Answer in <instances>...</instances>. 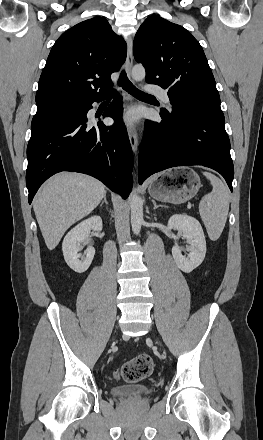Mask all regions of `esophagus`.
I'll list each match as a JSON object with an SVG mask.
<instances>
[{
	"label": "esophagus",
	"instance_id": "1",
	"mask_svg": "<svg viewBox=\"0 0 263 440\" xmlns=\"http://www.w3.org/2000/svg\"><path fill=\"white\" fill-rule=\"evenodd\" d=\"M132 66H133V43H132V39L129 38L127 40V58H126V72L128 77H131ZM128 136L133 153L136 155L138 149V134L134 127L130 126L128 128Z\"/></svg>",
	"mask_w": 263,
	"mask_h": 440
}]
</instances>
